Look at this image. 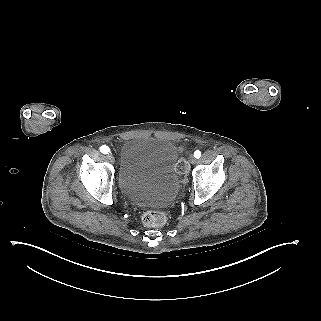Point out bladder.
Wrapping results in <instances>:
<instances>
[{
	"label": "bladder",
	"instance_id": "obj_1",
	"mask_svg": "<svg viewBox=\"0 0 321 321\" xmlns=\"http://www.w3.org/2000/svg\"><path fill=\"white\" fill-rule=\"evenodd\" d=\"M179 151L169 140L136 137L123 143L118 162L122 193L142 206L170 203L180 189Z\"/></svg>",
	"mask_w": 321,
	"mask_h": 321
}]
</instances>
